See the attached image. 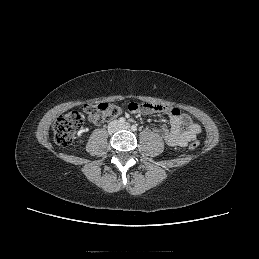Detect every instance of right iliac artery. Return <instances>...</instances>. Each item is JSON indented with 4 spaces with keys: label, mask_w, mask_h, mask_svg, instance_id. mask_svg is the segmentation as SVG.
Returning <instances> with one entry per match:
<instances>
[{
    "label": "right iliac artery",
    "mask_w": 259,
    "mask_h": 259,
    "mask_svg": "<svg viewBox=\"0 0 259 259\" xmlns=\"http://www.w3.org/2000/svg\"><path fill=\"white\" fill-rule=\"evenodd\" d=\"M119 123L121 124L125 123V118L124 117L119 118Z\"/></svg>",
    "instance_id": "1"
}]
</instances>
